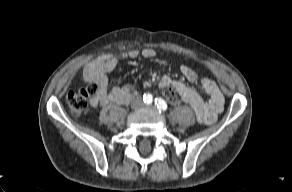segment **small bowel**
<instances>
[{
  "label": "small bowel",
  "instance_id": "c3829d8e",
  "mask_svg": "<svg viewBox=\"0 0 292 192\" xmlns=\"http://www.w3.org/2000/svg\"><path fill=\"white\" fill-rule=\"evenodd\" d=\"M140 54L144 58L150 59L153 58L156 53L152 48H144L141 52L132 49L121 55V58L132 59ZM119 58V56L113 55L102 61L93 62L85 68V80L94 82L98 85V93L91 99L92 106L127 104L135 93L134 87L129 84L122 87H108V74L114 71ZM181 73L189 84L172 80L170 77L164 76L161 79L160 87L162 89L169 88L173 90L182 101L190 105L201 124L207 125L213 123L224 106V96L218 85L210 78L200 77L194 69L188 66H182ZM197 83L201 84L203 90L207 94V99L203 98L194 89L193 86Z\"/></svg>",
  "mask_w": 292,
  "mask_h": 192
}]
</instances>
